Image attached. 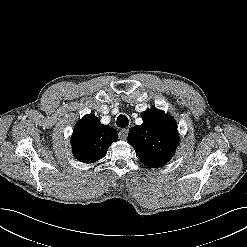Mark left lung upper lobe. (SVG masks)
<instances>
[{"label": "left lung upper lobe", "mask_w": 247, "mask_h": 247, "mask_svg": "<svg viewBox=\"0 0 247 247\" xmlns=\"http://www.w3.org/2000/svg\"><path fill=\"white\" fill-rule=\"evenodd\" d=\"M142 119L143 124L129 131L128 142L144 164L161 167L173 157L179 142L176 122L156 108L146 110Z\"/></svg>", "instance_id": "obj_1"}]
</instances>
